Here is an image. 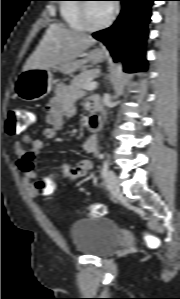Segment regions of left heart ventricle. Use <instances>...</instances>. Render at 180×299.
Returning a JSON list of instances; mask_svg holds the SVG:
<instances>
[{"mask_svg":"<svg viewBox=\"0 0 180 299\" xmlns=\"http://www.w3.org/2000/svg\"><path fill=\"white\" fill-rule=\"evenodd\" d=\"M110 8L106 3H87V14L92 25L104 22L110 15Z\"/></svg>","mask_w":180,"mask_h":299,"instance_id":"1","label":"left heart ventricle"}]
</instances>
